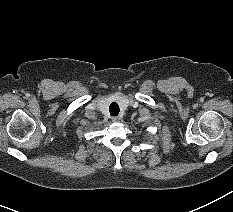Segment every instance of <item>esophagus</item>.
<instances>
[{"mask_svg": "<svg viewBox=\"0 0 233 212\" xmlns=\"http://www.w3.org/2000/svg\"><path fill=\"white\" fill-rule=\"evenodd\" d=\"M111 119L113 122H119L121 118L119 116H113Z\"/></svg>", "mask_w": 233, "mask_h": 212, "instance_id": "esophagus-1", "label": "esophagus"}]
</instances>
